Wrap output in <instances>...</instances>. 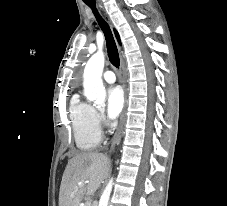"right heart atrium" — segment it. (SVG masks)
<instances>
[{
	"mask_svg": "<svg viewBox=\"0 0 227 206\" xmlns=\"http://www.w3.org/2000/svg\"><path fill=\"white\" fill-rule=\"evenodd\" d=\"M94 122H95L96 127L98 129H100L105 123L104 116L102 114H100L99 112L94 111Z\"/></svg>",
	"mask_w": 227,
	"mask_h": 206,
	"instance_id": "right-heart-atrium-1",
	"label": "right heart atrium"
}]
</instances>
